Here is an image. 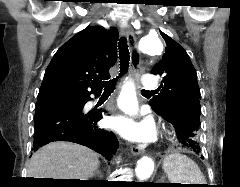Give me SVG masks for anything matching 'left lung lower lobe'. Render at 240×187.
I'll return each mask as SVG.
<instances>
[{
	"mask_svg": "<svg viewBox=\"0 0 240 187\" xmlns=\"http://www.w3.org/2000/svg\"><path fill=\"white\" fill-rule=\"evenodd\" d=\"M163 118L174 125L177 133V139L183 147H186L187 149H190L196 153L200 152V146L198 142L199 129H197L194 124L184 122L182 120H176L167 116H164Z\"/></svg>",
	"mask_w": 240,
	"mask_h": 187,
	"instance_id": "left-lung-lower-lobe-1",
	"label": "left lung lower lobe"
}]
</instances>
